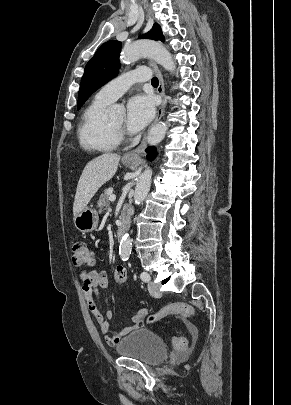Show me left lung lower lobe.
<instances>
[{
    "label": "left lung lower lobe",
    "instance_id": "1",
    "mask_svg": "<svg viewBox=\"0 0 291 405\" xmlns=\"http://www.w3.org/2000/svg\"><path fill=\"white\" fill-rule=\"evenodd\" d=\"M146 153H147V155H146L147 158H148L149 160H151V161L155 158V156H156V154H157V152H156L154 146L147 148V149H146Z\"/></svg>",
    "mask_w": 291,
    "mask_h": 405
}]
</instances>
